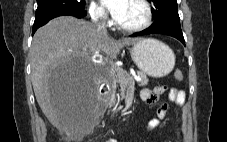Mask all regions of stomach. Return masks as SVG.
<instances>
[{
    "instance_id": "obj_1",
    "label": "stomach",
    "mask_w": 227,
    "mask_h": 142,
    "mask_svg": "<svg viewBox=\"0 0 227 142\" xmlns=\"http://www.w3.org/2000/svg\"><path fill=\"white\" fill-rule=\"evenodd\" d=\"M130 53L136 66L154 78L167 76L175 65L172 49L155 39H143L133 44Z\"/></svg>"
}]
</instances>
